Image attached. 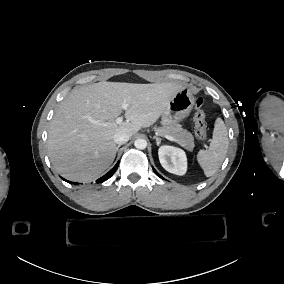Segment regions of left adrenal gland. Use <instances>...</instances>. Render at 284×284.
Wrapping results in <instances>:
<instances>
[{
	"mask_svg": "<svg viewBox=\"0 0 284 284\" xmlns=\"http://www.w3.org/2000/svg\"><path fill=\"white\" fill-rule=\"evenodd\" d=\"M153 138L156 139L157 145L160 146L162 140L157 136H154Z\"/></svg>",
	"mask_w": 284,
	"mask_h": 284,
	"instance_id": "obj_1",
	"label": "left adrenal gland"
}]
</instances>
